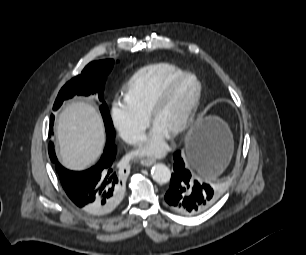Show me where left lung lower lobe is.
<instances>
[{"label":"left lung lower lobe","mask_w":306,"mask_h":255,"mask_svg":"<svg viewBox=\"0 0 306 255\" xmlns=\"http://www.w3.org/2000/svg\"><path fill=\"white\" fill-rule=\"evenodd\" d=\"M223 142L213 140L210 143H194L184 152L186 163L203 170H211L223 157ZM174 173L165 201L176 212L183 215H195L208 208L214 201V190L209 184L200 183L192 178L189 166L181 157L174 154Z\"/></svg>","instance_id":"left-lung-lower-lobe-1"}]
</instances>
